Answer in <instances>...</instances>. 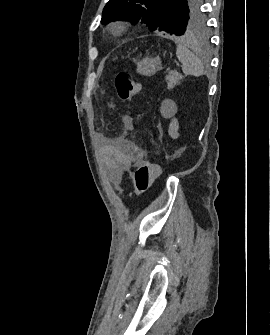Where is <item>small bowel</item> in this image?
Returning <instances> with one entry per match:
<instances>
[{"mask_svg":"<svg viewBox=\"0 0 270 335\" xmlns=\"http://www.w3.org/2000/svg\"><path fill=\"white\" fill-rule=\"evenodd\" d=\"M123 122L127 128L132 127L128 118H124ZM99 143L111 180L117 184L121 183L125 175L130 173L131 168L135 165L132 145L123 136L114 139L101 136Z\"/></svg>","mask_w":270,"mask_h":335,"instance_id":"obj_1","label":"small bowel"}]
</instances>
